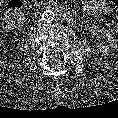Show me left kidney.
Returning a JSON list of instances; mask_svg holds the SVG:
<instances>
[{
    "label": "left kidney",
    "mask_w": 118,
    "mask_h": 118,
    "mask_svg": "<svg viewBox=\"0 0 118 118\" xmlns=\"http://www.w3.org/2000/svg\"><path fill=\"white\" fill-rule=\"evenodd\" d=\"M100 51H102L103 53H108L109 51V46L106 45L105 43L101 42L99 45H98Z\"/></svg>",
    "instance_id": "1"
}]
</instances>
